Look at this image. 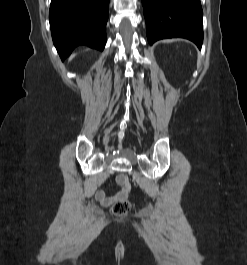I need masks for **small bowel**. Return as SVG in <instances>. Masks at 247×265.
<instances>
[{"mask_svg": "<svg viewBox=\"0 0 247 265\" xmlns=\"http://www.w3.org/2000/svg\"><path fill=\"white\" fill-rule=\"evenodd\" d=\"M127 195H128V192L124 191L123 189L114 196H107L103 190H98L95 193V198L103 206H109L110 204H112L114 201L118 199L126 198Z\"/></svg>", "mask_w": 247, "mask_h": 265, "instance_id": "1", "label": "small bowel"}]
</instances>
